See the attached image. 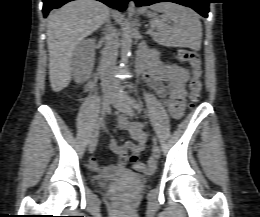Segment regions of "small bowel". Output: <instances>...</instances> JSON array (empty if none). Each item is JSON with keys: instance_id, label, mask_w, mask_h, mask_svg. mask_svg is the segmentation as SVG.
Instances as JSON below:
<instances>
[{"instance_id": "c3829d8e", "label": "small bowel", "mask_w": 260, "mask_h": 217, "mask_svg": "<svg viewBox=\"0 0 260 217\" xmlns=\"http://www.w3.org/2000/svg\"><path fill=\"white\" fill-rule=\"evenodd\" d=\"M142 65L146 69L144 79L147 85L162 100L170 114L174 118H179L183 112V98L186 83L189 79L188 71L181 66L165 63L157 53L147 56ZM120 126L123 130L129 132L132 141L119 145L115 139H111L109 147L118 155V161L115 164L100 167L96 159L90 160V170L97 172L100 178L125 170L127 163L129 161L136 162L138 154L146 146V135L139 124L130 122L122 116Z\"/></svg>"}]
</instances>
